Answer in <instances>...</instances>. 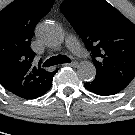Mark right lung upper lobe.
Segmentation results:
<instances>
[{
	"label": "right lung upper lobe",
	"instance_id": "cb5924a9",
	"mask_svg": "<svg viewBox=\"0 0 135 135\" xmlns=\"http://www.w3.org/2000/svg\"><path fill=\"white\" fill-rule=\"evenodd\" d=\"M54 0H15L0 11V84L9 92L26 97L52 84L57 70L48 72L32 65L30 48L38 21Z\"/></svg>",
	"mask_w": 135,
	"mask_h": 135
}]
</instances>
